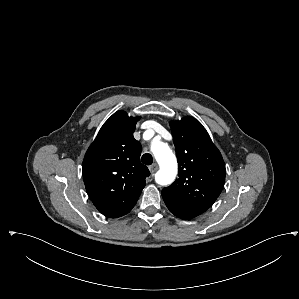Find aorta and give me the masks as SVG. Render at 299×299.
Returning a JSON list of instances; mask_svg holds the SVG:
<instances>
[{"instance_id": "aorta-1", "label": "aorta", "mask_w": 299, "mask_h": 299, "mask_svg": "<svg viewBox=\"0 0 299 299\" xmlns=\"http://www.w3.org/2000/svg\"><path fill=\"white\" fill-rule=\"evenodd\" d=\"M152 152L160 169L155 174V181L160 185L171 184L177 175V160L166 143L156 142L152 145Z\"/></svg>"}]
</instances>
